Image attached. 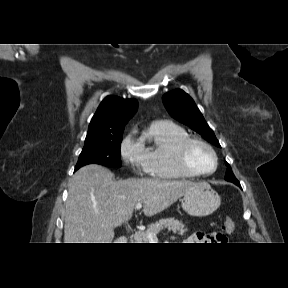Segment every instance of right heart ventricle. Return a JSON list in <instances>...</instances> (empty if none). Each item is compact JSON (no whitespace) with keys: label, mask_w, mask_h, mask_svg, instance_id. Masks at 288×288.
<instances>
[{"label":"right heart ventricle","mask_w":288,"mask_h":288,"mask_svg":"<svg viewBox=\"0 0 288 288\" xmlns=\"http://www.w3.org/2000/svg\"><path fill=\"white\" fill-rule=\"evenodd\" d=\"M189 137L187 131L170 121L151 123L139 142L144 151L143 169L150 176L160 179H190L177 162L178 144Z\"/></svg>","instance_id":"1"}]
</instances>
